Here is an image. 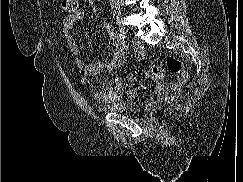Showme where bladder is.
Wrapping results in <instances>:
<instances>
[{"label": "bladder", "mask_w": 243, "mask_h": 182, "mask_svg": "<svg viewBox=\"0 0 243 182\" xmlns=\"http://www.w3.org/2000/svg\"><path fill=\"white\" fill-rule=\"evenodd\" d=\"M146 103L144 94L129 91L125 96L115 102L97 104L96 109L103 113L130 114L140 111Z\"/></svg>", "instance_id": "31cf9c89"}]
</instances>
